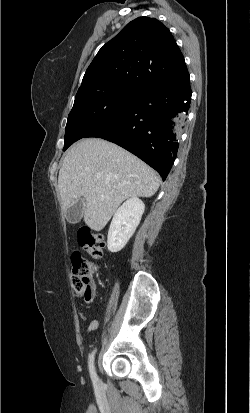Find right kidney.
Here are the masks:
<instances>
[{
    "instance_id": "right-kidney-1",
    "label": "right kidney",
    "mask_w": 250,
    "mask_h": 413,
    "mask_svg": "<svg viewBox=\"0 0 250 413\" xmlns=\"http://www.w3.org/2000/svg\"><path fill=\"white\" fill-rule=\"evenodd\" d=\"M145 205L137 197L126 200L115 212L111 221L107 247L112 253L124 248L140 223Z\"/></svg>"
}]
</instances>
